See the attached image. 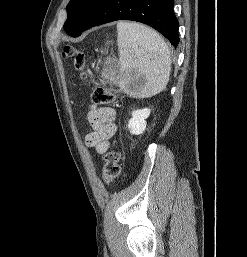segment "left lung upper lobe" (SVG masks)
<instances>
[{"instance_id":"left-lung-upper-lobe-1","label":"left lung upper lobe","mask_w":247,"mask_h":257,"mask_svg":"<svg viewBox=\"0 0 247 257\" xmlns=\"http://www.w3.org/2000/svg\"><path fill=\"white\" fill-rule=\"evenodd\" d=\"M96 2L97 0H70L66 7L67 20L64 24L68 35L78 31Z\"/></svg>"}]
</instances>
